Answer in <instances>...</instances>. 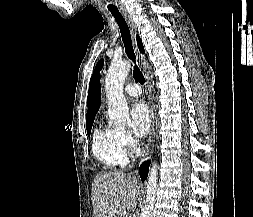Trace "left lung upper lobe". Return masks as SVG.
Listing matches in <instances>:
<instances>
[{"label": "left lung upper lobe", "instance_id": "5c2ea615", "mask_svg": "<svg viewBox=\"0 0 253 217\" xmlns=\"http://www.w3.org/2000/svg\"><path fill=\"white\" fill-rule=\"evenodd\" d=\"M103 63H104V60H103V59H101V60L97 63V65H96V67H95V70H94V72H93L92 78H94L95 74L98 73V72L102 69Z\"/></svg>", "mask_w": 253, "mask_h": 217}]
</instances>
